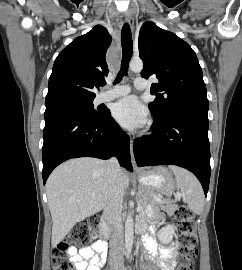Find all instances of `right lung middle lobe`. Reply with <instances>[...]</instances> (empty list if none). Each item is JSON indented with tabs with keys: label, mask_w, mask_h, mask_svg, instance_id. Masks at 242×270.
<instances>
[{
	"label": "right lung middle lobe",
	"mask_w": 242,
	"mask_h": 270,
	"mask_svg": "<svg viewBox=\"0 0 242 270\" xmlns=\"http://www.w3.org/2000/svg\"><path fill=\"white\" fill-rule=\"evenodd\" d=\"M93 100H82V101H69V102H62L51 106H46L45 115H49L54 112L79 108L86 113L92 116H101L106 113V110H95L93 107Z\"/></svg>",
	"instance_id": "1"
}]
</instances>
